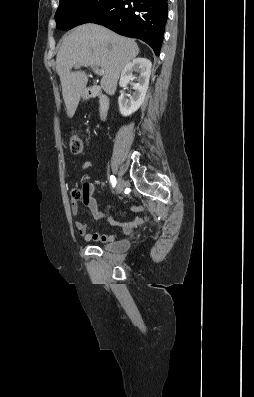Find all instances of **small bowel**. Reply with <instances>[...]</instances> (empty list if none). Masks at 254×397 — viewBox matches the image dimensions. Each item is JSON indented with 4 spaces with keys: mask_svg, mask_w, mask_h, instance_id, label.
Wrapping results in <instances>:
<instances>
[{
    "mask_svg": "<svg viewBox=\"0 0 254 397\" xmlns=\"http://www.w3.org/2000/svg\"><path fill=\"white\" fill-rule=\"evenodd\" d=\"M92 166V163L90 161H85L82 163L80 167V171H86L90 169ZM94 193V185L91 183H86V194L87 197L85 200H83V203L89 208V210L92 213V216L96 220H106L110 225L119 227L121 229L122 234L128 235L131 233V231L140 226L143 222V219L140 217L134 218L131 222L129 223H118L112 216L110 212V208H108L105 212L99 211L98 204L96 199L93 197ZM71 210L73 215H77L79 211V206L75 198H72L71 201ZM131 210L133 212H141L144 210L142 206H133L131 207ZM75 228L77 232L79 233L80 236H82L86 241L88 242H103V243H108V242H113L116 239L115 234H102L100 232H94V233H89L88 232V225L81 221L77 220L75 222Z\"/></svg>",
    "mask_w": 254,
    "mask_h": 397,
    "instance_id": "obj_1",
    "label": "small bowel"
}]
</instances>
